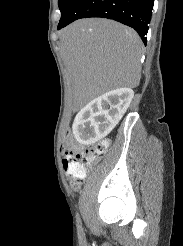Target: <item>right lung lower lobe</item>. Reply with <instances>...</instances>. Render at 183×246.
<instances>
[{"mask_svg": "<svg viewBox=\"0 0 183 246\" xmlns=\"http://www.w3.org/2000/svg\"><path fill=\"white\" fill-rule=\"evenodd\" d=\"M153 3L154 0H80L58 30L80 18L102 17L134 28L146 44Z\"/></svg>", "mask_w": 183, "mask_h": 246, "instance_id": "98d812e1", "label": "right lung lower lobe"}]
</instances>
